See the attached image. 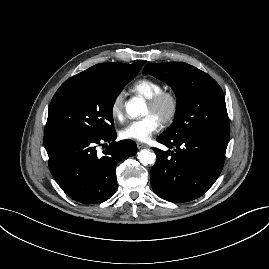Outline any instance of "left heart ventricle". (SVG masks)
I'll use <instances>...</instances> for the list:
<instances>
[{"label": "left heart ventricle", "mask_w": 269, "mask_h": 269, "mask_svg": "<svg viewBox=\"0 0 269 269\" xmlns=\"http://www.w3.org/2000/svg\"><path fill=\"white\" fill-rule=\"evenodd\" d=\"M148 114H153V115H155L156 117H158L159 119H160V117H161V112H154V111H152V110L149 108V106L147 105L146 110H145V115H148Z\"/></svg>", "instance_id": "b2bd125f"}]
</instances>
